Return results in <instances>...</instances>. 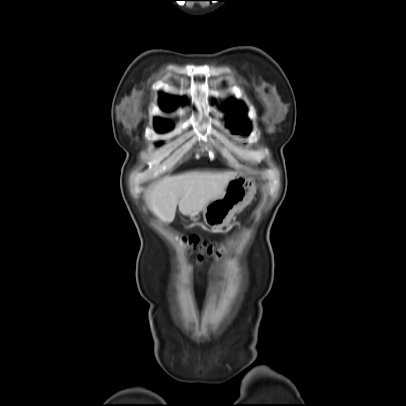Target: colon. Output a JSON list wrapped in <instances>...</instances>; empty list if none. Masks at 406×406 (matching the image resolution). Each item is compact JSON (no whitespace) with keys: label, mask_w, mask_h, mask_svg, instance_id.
Returning a JSON list of instances; mask_svg holds the SVG:
<instances>
[{"label":"colon","mask_w":406,"mask_h":406,"mask_svg":"<svg viewBox=\"0 0 406 406\" xmlns=\"http://www.w3.org/2000/svg\"><path fill=\"white\" fill-rule=\"evenodd\" d=\"M184 242L191 249L197 251L199 258H218L221 254V249L201 241L197 236L185 237Z\"/></svg>","instance_id":"5ec220e1"}]
</instances>
